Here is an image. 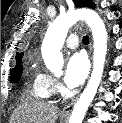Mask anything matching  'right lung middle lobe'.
<instances>
[{"mask_svg": "<svg viewBox=\"0 0 122 123\" xmlns=\"http://www.w3.org/2000/svg\"><path fill=\"white\" fill-rule=\"evenodd\" d=\"M22 71H23L22 64H20L19 66H15V68L11 70L10 81L17 82V80L22 75Z\"/></svg>", "mask_w": 122, "mask_h": 123, "instance_id": "1", "label": "right lung middle lobe"}]
</instances>
